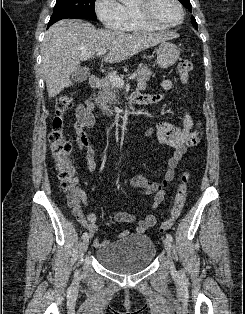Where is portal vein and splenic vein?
I'll use <instances>...</instances> for the list:
<instances>
[{"mask_svg":"<svg viewBox=\"0 0 245 314\" xmlns=\"http://www.w3.org/2000/svg\"><path fill=\"white\" fill-rule=\"evenodd\" d=\"M107 51L106 50H102V51H99L97 53V56H102L106 53ZM137 76L136 73H133L131 74L128 79L132 80V79H135ZM108 77L110 78V81L113 83V85L117 86V87H123L124 86V80L123 78H120L118 77L117 75L113 74V73H108Z\"/></svg>","mask_w":245,"mask_h":314,"instance_id":"1","label":"portal vein and splenic vein"}]
</instances>
